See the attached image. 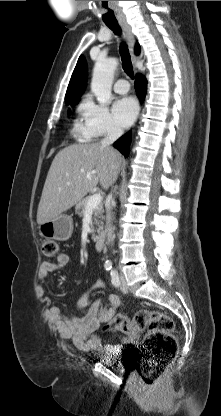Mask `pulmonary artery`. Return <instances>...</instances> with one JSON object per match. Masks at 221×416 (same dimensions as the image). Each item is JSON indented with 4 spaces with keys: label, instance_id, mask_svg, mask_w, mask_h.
<instances>
[{
    "label": "pulmonary artery",
    "instance_id": "e3ab8cb5",
    "mask_svg": "<svg viewBox=\"0 0 221 416\" xmlns=\"http://www.w3.org/2000/svg\"><path fill=\"white\" fill-rule=\"evenodd\" d=\"M129 90H130L129 82L124 78L118 79L114 84V91L116 93L126 94L129 92Z\"/></svg>",
    "mask_w": 221,
    "mask_h": 416
}]
</instances>
